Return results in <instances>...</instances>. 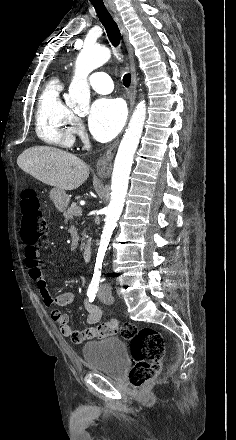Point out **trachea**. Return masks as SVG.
Instances as JSON below:
<instances>
[{
    "label": "trachea",
    "mask_w": 236,
    "mask_h": 440,
    "mask_svg": "<svg viewBox=\"0 0 236 440\" xmlns=\"http://www.w3.org/2000/svg\"><path fill=\"white\" fill-rule=\"evenodd\" d=\"M96 13L100 19V21L102 22V24L104 25L108 38L110 40V42L112 43V45L116 48L119 46L120 44V30L119 27L117 25V23L115 22V20L113 19V17L111 16V14L109 13V11L107 10L106 6L104 5V3H92ZM123 84L125 87H129L131 84V74L130 73H126L123 76Z\"/></svg>",
    "instance_id": "trachea-1"
}]
</instances>
